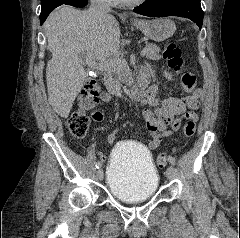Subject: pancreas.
<instances>
[{
    "label": "pancreas",
    "mask_w": 240,
    "mask_h": 238,
    "mask_svg": "<svg viewBox=\"0 0 240 238\" xmlns=\"http://www.w3.org/2000/svg\"><path fill=\"white\" fill-rule=\"evenodd\" d=\"M148 52L145 56L150 60H159L161 59L160 48L155 44H148ZM119 60V64L115 66L114 69L109 70V74L114 77L115 80H120L123 77H127L129 73L128 65L123 58V56L116 58Z\"/></svg>",
    "instance_id": "1"
}]
</instances>
